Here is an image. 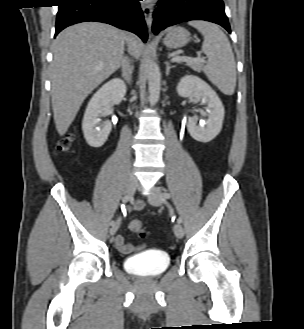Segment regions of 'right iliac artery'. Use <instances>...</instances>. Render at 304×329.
I'll use <instances>...</instances> for the list:
<instances>
[{
    "label": "right iliac artery",
    "mask_w": 304,
    "mask_h": 329,
    "mask_svg": "<svg viewBox=\"0 0 304 329\" xmlns=\"http://www.w3.org/2000/svg\"><path fill=\"white\" fill-rule=\"evenodd\" d=\"M130 199H131V197H130L129 195H126V196H124V197L122 198V203L125 204V203H127ZM114 224H115V221L112 220V221L110 222V225L112 226V225H114Z\"/></svg>",
    "instance_id": "1"
}]
</instances>
